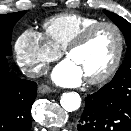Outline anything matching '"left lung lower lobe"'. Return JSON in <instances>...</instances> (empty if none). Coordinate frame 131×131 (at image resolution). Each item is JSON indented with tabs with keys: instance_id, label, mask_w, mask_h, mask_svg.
I'll return each mask as SVG.
<instances>
[{
	"instance_id": "1",
	"label": "left lung lower lobe",
	"mask_w": 131,
	"mask_h": 131,
	"mask_svg": "<svg viewBox=\"0 0 131 131\" xmlns=\"http://www.w3.org/2000/svg\"><path fill=\"white\" fill-rule=\"evenodd\" d=\"M78 131H131V77L115 79L85 98Z\"/></svg>"
}]
</instances>
